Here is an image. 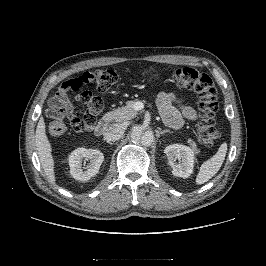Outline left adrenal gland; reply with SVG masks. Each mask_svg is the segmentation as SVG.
<instances>
[{
	"mask_svg": "<svg viewBox=\"0 0 266 266\" xmlns=\"http://www.w3.org/2000/svg\"><path fill=\"white\" fill-rule=\"evenodd\" d=\"M165 133H171V131H169V130H161V129H159V131H157L158 135H163Z\"/></svg>",
	"mask_w": 266,
	"mask_h": 266,
	"instance_id": "1",
	"label": "left adrenal gland"
}]
</instances>
